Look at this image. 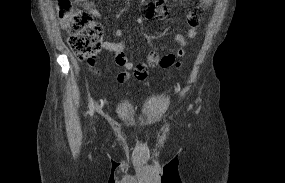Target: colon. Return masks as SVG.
Masks as SVG:
<instances>
[{"label":"colon","instance_id":"5ec220e1","mask_svg":"<svg viewBox=\"0 0 285 183\" xmlns=\"http://www.w3.org/2000/svg\"><path fill=\"white\" fill-rule=\"evenodd\" d=\"M56 9L64 31L70 34L69 45L80 59L92 61L101 51L103 30L89 12L78 8L73 0H57ZM177 67L181 65L176 64ZM135 77L142 80L145 70L137 67Z\"/></svg>","mask_w":285,"mask_h":183}]
</instances>
